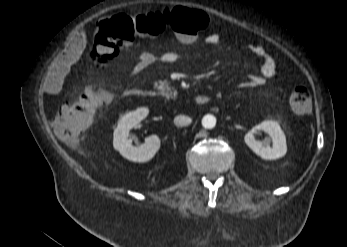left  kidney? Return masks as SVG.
<instances>
[{
    "mask_svg": "<svg viewBox=\"0 0 347 247\" xmlns=\"http://www.w3.org/2000/svg\"><path fill=\"white\" fill-rule=\"evenodd\" d=\"M264 131L272 138L273 145L263 143L255 139L254 134ZM244 141L249 148L258 156L265 160H275L283 157L287 152L286 137L280 125L272 120H265L253 127L244 137Z\"/></svg>",
    "mask_w": 347,
    "mask_h": 247,
    "instance_id": "left-kidney-1",
    "label": "left kidney"
}]
</instances>
